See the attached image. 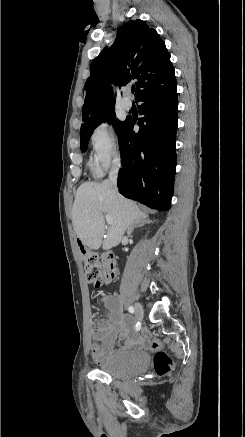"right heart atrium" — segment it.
I'll use <instances>...</instances> for the list:
<instances>
[{"instance_id": "right-heart-atrium-1", "label": "right heart atrium", "mask_w": 245, "mask_h": 437, "mask_svg": "<svg viewBox=\"0 0 245 437\" xmlns=\"http://www.w3.org/2000/svg\"><path fill=\"white\" fill-rule=\"evenodd\" d=\"M91 161L96 175H102L120 157L117 136L108 122L97 124L90 134Z\"/></svg>"}]
</instances>
